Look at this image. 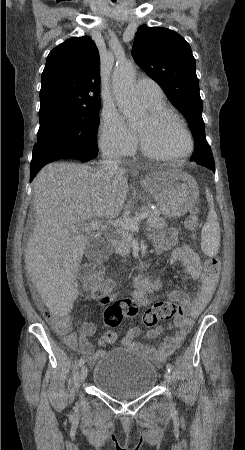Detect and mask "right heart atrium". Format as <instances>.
<instances>
[{
  "label": "right heart atrium",
  "mask_w": 245,
  "mask_h": 450,
  "mask_svg": "<svg viewBox=\"0 0 245 450\" xmlns=\"http://www.w3.org/2000/svg\"><path fill=\"white\" fill-rule=\"evenodd\" d=\"M99 146L108 155L128 156L136 151L137 137L118 113L104 111L99 127Z\"/></svg>",
  "instance_id": "obj_1"
}]
</instances>
